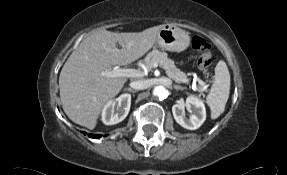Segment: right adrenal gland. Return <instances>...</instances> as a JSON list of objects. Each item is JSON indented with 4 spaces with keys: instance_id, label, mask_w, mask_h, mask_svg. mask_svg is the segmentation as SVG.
I'll return each mask as SVG.
<instances>
[{
    "instance_id": "obj_1",
    "label": "right adrenal gland",
    "mask_w": 287,
    "mask_h": 175,
    "mask_svg": "<svg viewBox=\"0 0 287 175\" xmlns=\"http://www.w3.org/2000/svg\"><path fill=\"white\" fill-rule=\"evenodd\" d=\"M124 90H125V91H129V92H132V93H135V92H136V90H133L132 88H125Z\"/></svg>"
}]
</instances>
